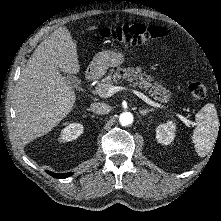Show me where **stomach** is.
<instances>
[{
  "label": "stomach",
  "mask_w": 221,
  "mask_h": 221,
  "mask_svg": "<svg viewBox=\"0 0 221 221\" xmlns=\"http://www.w3.org/2000/svg\"><path fill=\"white\" fill-rule=\"evenodd\" d=\"M124 55L121 52L103 51L97 53L88 67L90 74L100 77L104 75L109 67H116L122 64Z\"/></svg>",
  "instance_id": "obj_1"
}]
</instances>
